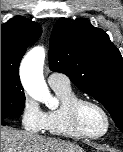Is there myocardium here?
<instances>
[{"mask_svg":"<svg viewBox=\"0 0 123 152\" xmlns=\"http://www.w3.org/2000/svg\"><path fill=\"white\" fill-rule=\"evenodd\" d=\"M85 105H92L96 107L104 115L106 120V127L102 133L90 134L83 129L80 123V112L82 107ZM69 118L74 130L82 137L89 139H98L105 136L108 133L111 126V119L107 110L99 102L92 99L77 98L76 100H74L69 106Z\"/></svg>","mask_w":123,"mask_h":152,"instance_id":"1","label":"myocardium"}]
</instances>
